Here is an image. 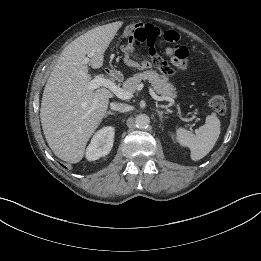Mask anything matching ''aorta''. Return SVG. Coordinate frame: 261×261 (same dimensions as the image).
<instances>
[{
  "mask_svg": "<svg viewBox=\"0 0 261 261\" xmlns=\"http://www.w3.org/2000/svg\"><path fill=\"white\" fill-rule=\"evenodd\" d=\"M150 123V119L146 114H140L135 119L136 127L139 129L147 128Z\"/></svg>",
  "mask_w": 261,
  "mask_h": 261,
  "instance_id": "obj_1",
  "label": "aorta"
}]
</instances>
